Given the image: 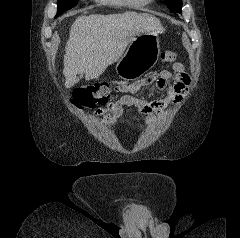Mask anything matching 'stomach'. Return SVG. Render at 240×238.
Instances as JSON below:
<instances>
[{"label": "stomach", "instance_id": "0dacf381", "mask_svg": "<svg viewBox=\"0 0 240 238\" xmlns=\"http://www.w3.org/2000/svg\"><path fill=\"white\" fill-rule=\"evenodd\" d=\"M160 50L158 33L145 32L136 36L117 60L118 75L125 80L141 77L157 63Z\"/></svg>", "mask_w": 240, "mask_h": 238}]
</instances>
